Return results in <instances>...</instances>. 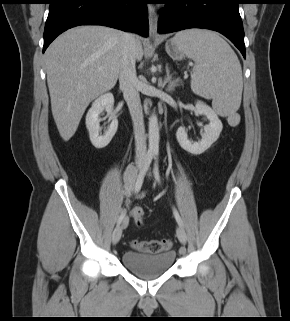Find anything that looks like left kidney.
<instances>
[{
	"label": "left kidney",
	"mask_w": 290,
	"mask_h": 321,
	"mask_svg": "<svg viewBox=\"0 0 290 321\" xmlns=\"http://www.w3.org/2000/svg\"><path fill=\"white\" fill-rule=\"evenodd\" d=\"M195 113L197 115H205L210 121L209 125L205 126V133L203 134L202 139L199 142L189 140L184 127L178 128L176 138L184 150L198 155L206 151L219 138L223 125L217 114L202 101L196 102Z\"/></svg>",
	"instance_id": "left-kidney-1"
}]
</instances>
